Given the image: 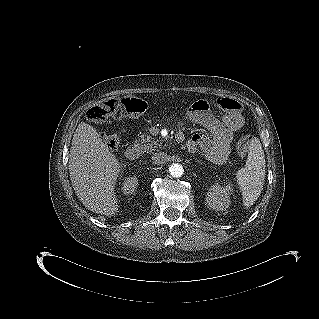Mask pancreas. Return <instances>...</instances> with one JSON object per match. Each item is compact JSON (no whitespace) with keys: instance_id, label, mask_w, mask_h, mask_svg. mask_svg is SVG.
Segmentation results:
<instances>
[{"instance_id":"1","label":"pancreas","mask_w":319,"mask_h":319,"mask_svg":"<svg viewBox=\"0 0 319 319\" xmlns=\"http://www.w3.org/2000/svg\"><path fill=\"white\" fill-rule=\"evenodd\" d=\"M140 145L141 151L143 153L145 152H152L154 151L156 148H158V144L156 141H154V139L149 136V135H141V138L139 139V141H137Z\"/></svg>"}]
</instances>
